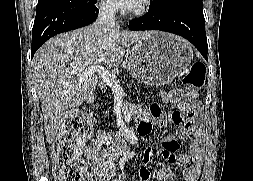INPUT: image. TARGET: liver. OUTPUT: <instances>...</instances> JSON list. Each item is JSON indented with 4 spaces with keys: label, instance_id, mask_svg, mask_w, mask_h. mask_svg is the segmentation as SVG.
I'll use <instances>...</instances> for the list:
<instances>
[{
    "label": "liver",
    "instance_id": "obj_1",
    "mask_svg": "<svg viewBox=\"0 0 253 181\" xmlns=\"http://www.w3.org/2000/svg\"><path fill=\"white\" fill-rule=\"evenodd\" d=\"M152 31L103 30L96 24L61 33L38 49L32 60V81L44 115L46 141L51 144L78 107L93 96L96 73L84 77L91 66L105 69L123 61L122 46L135 43Z\"/></svg>",
    "mask_w": 253,
    "mask_h": 181
}]
</instances>
